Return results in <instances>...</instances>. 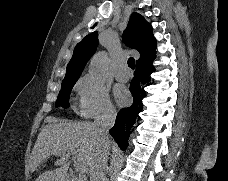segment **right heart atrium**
Masks as SVG:
<instances>
[{"label":"right heart atrium","mask_w":228,"mask_h":181,"mask_svg":"<svg viewBox=\"0 0 228 181\" xmlns=\"http://www.w3.org/2000/svg\"><path fill=\"white\" fill-rule=\"evenodd\" d=\"M80 96V115L84 118H98L114 111L109 88L95 74L82 81Z\"/></svg>","instance_id":"d8ad5b80"}]
</instances>
